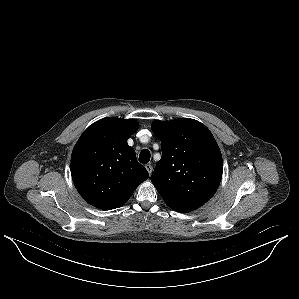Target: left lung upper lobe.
Returning a JSON list of instances; mask_svg holds the SVG:
<instances>
[{"mask_svg":"<svg viewBox=\"0 0 299 299\" xmlns=\"http://www.w3.org/2000/svg\"><path fill=\"white\" fill-rule=\"evenodd\" d=\"M162 158L151 181L175 211L190 212L205 204L219 187L223 161L209 129L194 119L155 121Z\"/></svg>","mask_w":299,"mask_h":299,"instance_id":"left-lung-upper-lobe-1","label":"left lung upper lobe"}]
</instances>
